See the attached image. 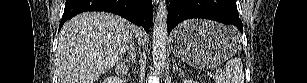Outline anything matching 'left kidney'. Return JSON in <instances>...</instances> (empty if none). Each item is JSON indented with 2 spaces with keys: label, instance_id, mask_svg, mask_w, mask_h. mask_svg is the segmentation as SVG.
Segmentation results:
<instances>
[{
  "label": "left kidney",
  "instance_id": "5707ae66",
  "mask_svg": "<svg viewBox=\"0 0 307 83\" xmlns=\"http://www.w3.org/2000/svg\"><path fill=\"white\" fill-rule=\"evenodd\" d=\"M183 83H197V82L193 80H184Z\"/></svg>",
  "mask_w": 307,
  "mask_h": 83
}]
</instances>
